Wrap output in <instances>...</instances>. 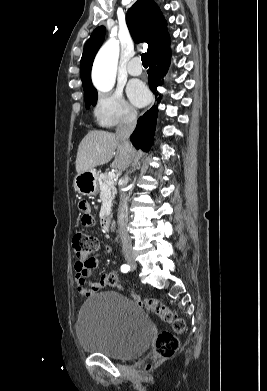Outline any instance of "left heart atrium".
I'll use <instances>...</instances> for the list:
<instances>
[{
    "label": "left heart atrium",
    "instance_id": "left-heart-atrium-1",
    "mask_svg": "<svg viewBox=\"0 0 267 391\" xmlns=\"http://www.w3.org/2000/svg\"><path fill=\"white\" fill-rule=\"evenodd\" d=\"M127 93L133 104L136 106L144 105L148 100V91L141 81H132L129 83Z\"/></svg>",
    "mask_w": 267,
    "mask_h": 391
}]
</instances>
